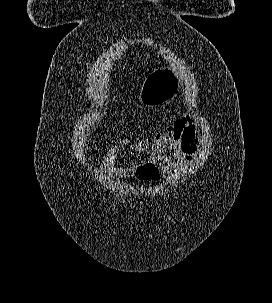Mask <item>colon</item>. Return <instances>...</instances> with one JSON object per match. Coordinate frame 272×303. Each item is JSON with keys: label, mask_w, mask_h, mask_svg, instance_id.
Returning a JSON list of instances; mask_svg holds the SVG:
<instances>
[{"label": "colon", "mask_w": 272, "mask_h": 303, "mask_svg": "<svg viewBox=\"0 0 272 303\" xmlns=\"http://www.w3.org/2000/svg\"><path fill=\"white\" fill-rule=\"evenodd\" d=\"M136 175L143 180L154 181L158 177V170L155 165L147 163L137 169Z\"/></svg>", "instance_id": "1"}]
</instances>
